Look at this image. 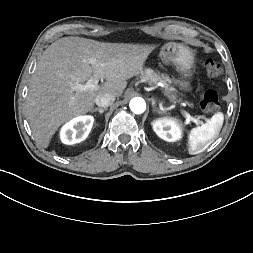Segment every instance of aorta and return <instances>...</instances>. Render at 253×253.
Wrapping results in <instances>:
<instances>
[{"label": "aorta", "instance_id": "obj_1", "mask_svg": "<svg viewBox=\"0 0 253 253\" xmlns=\"http://www.w3.org/2000/svg\"><path fill=\"white\" fill-rule=\"evenodd\" d=\"M130 109L135 114H142L146 110V102L143 98L135 97L130 101Z\"/></svg>", "mask_w": 253, "mask_h": 253}]
</instances>
